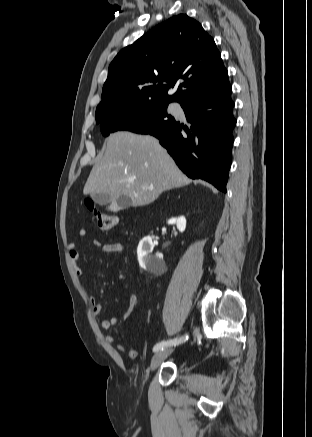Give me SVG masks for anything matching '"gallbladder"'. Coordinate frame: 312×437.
Returning <instances> with one entry per match:
<instances>
[{"instance_id": "bac80fb5", "label": "gallbladder", "mask_w": 312, "mask_h": 437, "mask_svg": "<svg viewBox=\"0 0 312 437\" xmlns=\"http://www.w3.org/2000/svg\"><path fill=\"white\" fill-rule=\"evenodd\" d=\"M92 200L100 205H109L107 209L111 212H117L120 209H126L131 205L130 199L126 197H120L117 200V204H111V197L107 193H95L91 195Z\"/></svg>"}]
</instances>
